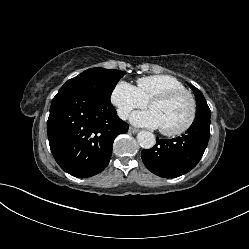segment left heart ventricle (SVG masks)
Returning <instances> with one entry per match:
<instances>
[{
	"label": "left heart ventricle",
	"instance_id": "1",
	"mask_svg": "<svg viewBox=\"0 0 249 249\" xmlns=\"http://www.w3.org/2000/svg\"><path fill=\"white\" fill-rule=\"evenodd\" d=\"M151 110L160 122V128L175 130L183 126L190 115V102L186 96L168 102L155 103Z\"/></svg>",
	"mask_w": 249,
	"mask_h": 249
}]
</instances>
